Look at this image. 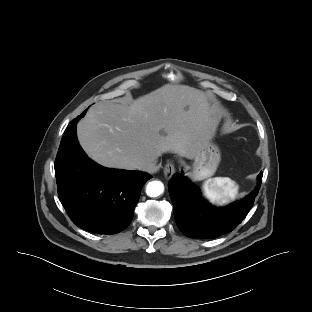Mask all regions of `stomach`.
Wrapping results in <instances>:
<instances>
[{"instance_id":"stomach-1","label":"stomach","mask_w":312,"mask_h":312,"mask_svg":"<svg viewBox=\"0 0 312 312\" xmlns=\"http://www.w3.org/2000/svg\"><path fill=\"white\" fill-rule=\"evenodd\" d=\"M221 155L218 147L209 142L203 146L194 157V162L188 167V175L194 180H203L214 175L220 163Z\"/></svg>"}]
</instances>
